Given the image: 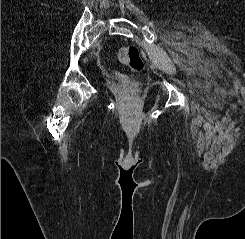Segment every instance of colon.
<instances>
[{"label": "colon", "mask_w": 245, "mask_h": 239, "mask_svg": "<svg viewBox=\"0 0 245 239\" xmlns=\"http://www.w3.org/2000/svg\"><path fill=\"white\" fill-rule=\"evenodd\" d=\"M117 59L120 63L129 67L132 73H139L144 68V62L139 49L135 45H129L118 50ZM136 84H133L132 92L135 93Z\"/></svg>", "instance_id": "5ec220e1"}]
</instances>
